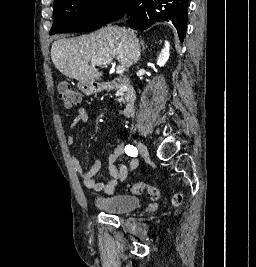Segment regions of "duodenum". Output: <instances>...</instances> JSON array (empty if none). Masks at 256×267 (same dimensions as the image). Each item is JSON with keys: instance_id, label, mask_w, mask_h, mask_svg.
<instances>
[{"instance_id": "obj_1", "label": "duodenum", "mask_w": 256, "mask_h": 267, "mask_svg": "<svg viewBox=\"0 0 256 267\" xmlns=\"http://www.w3.org/2000/svg\"><path fill=\"white\" fill-rule=\"evenodd\" d=\"M80 94H99V90H121L124 93L125 105L122 110L124 117H131L134 114V105L137 100V93L131 81L126 77H116L110 81H80L76 83Z\"/></svg>"}]
</instances>
